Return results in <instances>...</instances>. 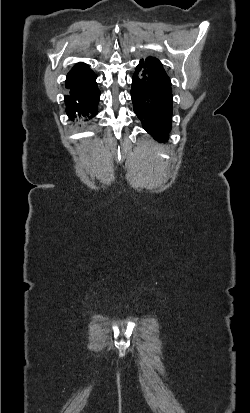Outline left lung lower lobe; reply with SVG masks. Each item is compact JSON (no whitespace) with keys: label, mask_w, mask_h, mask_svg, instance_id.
Listing matches in <instances>:
<instances>
[{"label":"left lung lower lobe","mask_w":250,"mask_h":413,"mask_svg":"<svg viewBox=\"0 0 250 413\" xmlns=\"http://www.w3.org/2000/svg\"><path fill=\"white\" fill-rule=\"evenodd\" d=\"M131 98L143 128L158 141H166L171 128L172 89L157 59L140 60L132 77Z\"/></svg>","instance_id":"0a47b994"}]
</instances>
